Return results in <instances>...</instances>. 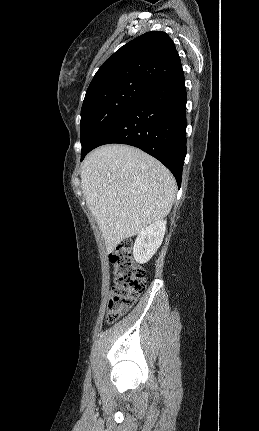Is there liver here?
<instances>
[{"instance_id": "6515ba94", "label": "liver", "mask_w": 259, "mask_h": 431, "mask_svg": "<svg viewBox=\"0 0 259 431\" xmlns=\"http://www.w3.org/2000/svg\"><path fill=\"white\" fill-rule=\"evenodd\" d=\"M81 187L107 253L166 217L176 196L171 172L138 148L113 144L93 150L81 170Z\"/></svg>"}]
</instances>
